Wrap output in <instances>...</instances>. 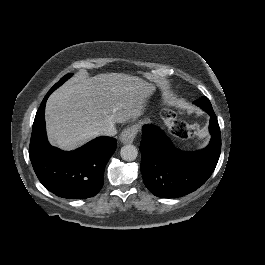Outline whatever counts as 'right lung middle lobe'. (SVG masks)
I'll return each instance as SVG.
<instances>
[{
    "mask_svg": "<svg viewBox=\"0 0 265 265\" xmlns=\"http://www.w3.org/2000/svg\"><path fill=\"white\" fill-rule=\"evenodd\" d=\"M72 76V73L67 74L63 76L51 89L50 91H54L56 88H58L61 84H63L67 79H69Z\"/></svg>",
    "mask_w": 265,
    "mask_h": 265,
    "instance_id": "right-lung-middle-lobe-1",
    "label": "right lung middle lobe"
}]
</instances>
